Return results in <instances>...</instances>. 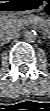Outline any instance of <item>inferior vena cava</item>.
Here are the masks:
<instances>
[{
    "instance_id": "1",
    "label": "inferior vena cava",
    "mask_w": 50,
    "mask_h": 111,
    "mask_svg": "<svg viewBox=\"0 0 50 111\" xmlns=\"http://www.w3.org/2000/svg\"><path fill=\"white\" fill-rule=\"evenodd\" d=\"M19 36H20V32L14 31V30H9L1 34V38L6 41H10L12 39L18 38Z\"/></svg>"
}]
</instances>
